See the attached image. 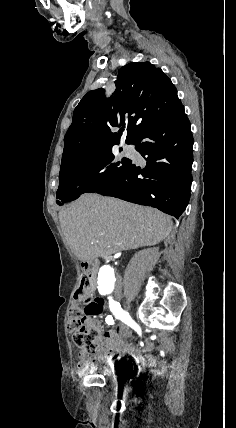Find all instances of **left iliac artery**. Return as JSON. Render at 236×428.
<instances>
[{
    "label": "left iliac artery",
    "instance_id": "1",
    "mask_svg": "<svg viewBox=\"0 0 236 428\" xmlns=\"http://www.w3.org/2000/svg\"><path fill=\"white\" fill-rule=\"evenodd\" d=\"M108 293H110V292H103L102 294H104V295H105V294H108Z\"/></svg>",
    "mask_w": 236,
    "mask_h": 428
}]
</instances>
